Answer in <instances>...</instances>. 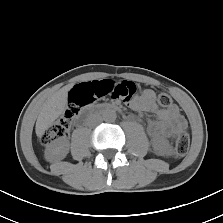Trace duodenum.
Masks as SVG:
<instances>
[{"mask_svg": "<svg viewBox=\"0 0 223 223\" xmlns=\"http://www.w3.org/2000/svg\"><path fill=\"white\" fill-rule=\"evenodd\" d=\"M121 108L118 105L115 104H101L98 105L94 108H91L89 110H87L84 114V116H82L79 120H78V125H81L82 123H84L87 119L89 115L92 114H96L98 112H102V111H120Z\"/></svg>", "mask_w": 223, "mask_h": 223, "instance_id": "duodenum-1", "label": "duodenum"}]
</instances>
